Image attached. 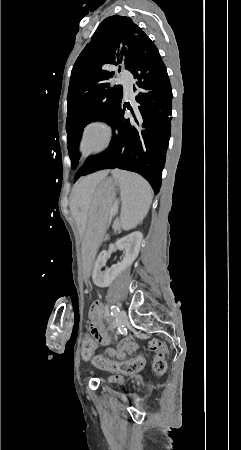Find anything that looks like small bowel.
Returning <instances> with one entry per match:
<instances>
[{"instance_id": "obj_1", "label": "small bowel", "mask_w": 241, "mask_h": 450, "mask_svg": "<svg viewBox=\"0 0 241 450\" xmlns=\"http://www.w3.org/2000/svg\"><path fill=\"white\" fill-rule=\"evenodd\" d=\"M101 306L98 303L93 302L90 305L91 316L88 318L90 333L94 335V345L96 350L98 343H104L108 345L106 349V353L115 357L119 360H125L128 356L132 355L135 351L138 350L139 344L136 341H133L128 338H121L116 342L115 346H111L113 341L106 335L104 327H101L103 323L102 311L100 310ZM95 336H100L101 340H97ZM110 383L114 384H123L124 379L119 374H114L108 378Z\"/></svg>"}]
</instances>
